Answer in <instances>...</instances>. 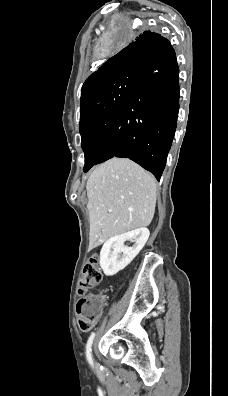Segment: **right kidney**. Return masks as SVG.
Segmentation results:
<instances>
[{
    "label": "right kidney",
    "instance_id": "ca27d5eb",
    "mask_svg": "<svg viewBox=\"0 0 228 396\" xmlns=\"http://www.w3.org/2000/svg\"><path fill=\"white\" fill-rule=\"evenodd\" d=\"M147 228H138L109 238L100 252V266L106 276H113L123 270L142 250L149 238ZM126 241L134 242L132 247Z\"/></svg>",
    "mask_w": 228,
    "mask_h": 396
}]
</instances>
